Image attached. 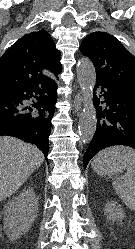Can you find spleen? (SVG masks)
<instances>
[{"label":"spleen","mask_w":135,"mask_h":249,"mask_svg":"<svg viewBox=\"0 0 135 249\" xmlns=\"http://www.w3.org/2000/svg\"><path fill=\"white\" fill-rule=\"evenodd\" d=\"M104 159L124 164L126 173L122 181H113V187L126 206L135 211V150L125 146L111 147L100 152L93 162Z\"/></svg>","instance_id":"1"}]
</instances>
